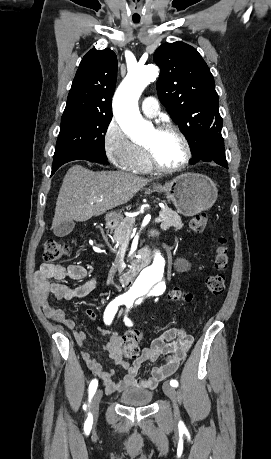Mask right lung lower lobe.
<instances>
[{"label":"right lung lower lobe","mask_w":271,"mask_h":459,"mask_svg":"<svg viewBox=\"0 0 271 459\" xmlns=\"http://www.w3.org/2000/svg\"><path fill=\"white\" fill-rule=\"evenodd\" d=\"M88 160L91 162H97V163H102V164H109L107 161V157L104 155L100 154H95V153H89L85 151H73L69 152L65 155H62L60 157H57L53 161V166H52V174L51 176L55 173V171L63 164L73 161V160Z\"/></svg>","instance_id":"obj_1"}]
</instances>
